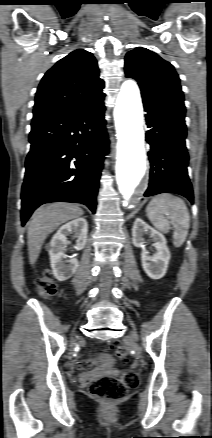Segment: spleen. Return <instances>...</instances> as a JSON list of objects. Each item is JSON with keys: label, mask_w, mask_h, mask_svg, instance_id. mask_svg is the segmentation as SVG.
<instances>
[{"label": "spleen", "mask_w": 212, "mask_h": 438, "mask_svg": "<svg viewBox=\"0 0 212 438\" xmlns=\"http://www.w3.org/2000/svg\"><path fill=\"white\" fill-rule=\"evenodd\" d=\"M151 223L163 233L174 227L173 245L181 247L190 227V216L185 202L171 194H160L152 198L146 208Z\"/></svg>", "instance_id": "spleen-1"}]
</instances>
